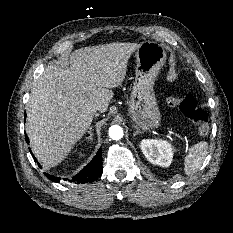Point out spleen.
Segmentation results:
<instances>
[{"label": "spleen", "mask_w": 233, "mask_h": 233, "mask_svg": "<svg viewBox=\"0 0 233 233\" xmlns=\"http://www.w3.org/2000/svg\"><path fill=\"white\" fill-rule=\"evenodd\" d=\"M207 150L208 144L206 141H201L189 148L184 159V172L186 175H192L200 169L207 156Z\"/></svg>", "instance_id": "obj_1"}]
</instances>
